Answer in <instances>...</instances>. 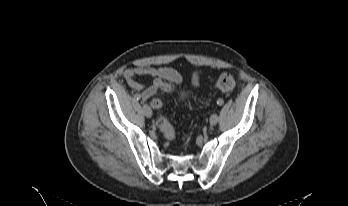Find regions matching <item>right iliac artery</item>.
<instances>
[{"instance_id":"obj_1","label":"right iliac artery","mask_w":348,"mask_h":206,"mask_svg":"<svg viewBox=\"0 0 348 206\" xmlns=\"http://www.w3.org/2000/svg\"><path fill=\"white\" fill-rule=\"evenodd\" d=\"M135 98H136L137 100H139V99L141 98V96H140L139 94H137V95H135Z\"/></svg>"}]
</instances>
